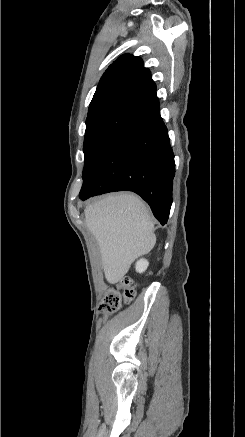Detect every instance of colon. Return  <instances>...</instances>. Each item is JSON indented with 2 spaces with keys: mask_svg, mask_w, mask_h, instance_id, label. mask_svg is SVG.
Returning <instances> with one entry per match:
<instances>
[{
  "mask_svg": "<svg viewBox=\"0 0 245 437\" xmlns=\"http://www.w3.org/2000/svg\"><path fill=\"white\" fill-rule=\"evenodd\" d=\"M135 292L129 278H122L116 289L110 290L104 297L100 309L107 313H114L119 310L122 300L131 301Z\"/></svg>",
  "mask_w": 245,
  "mask_h": 437,
  "instance_id": "colon-1",
  "label": "colon"
}]
</instances>
